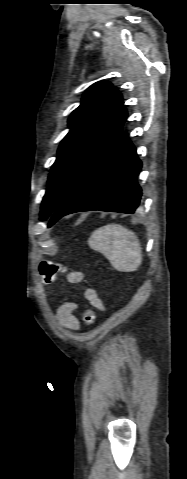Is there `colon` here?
<instances>
[{"label":"colon","instance_id":"colon-1","mask_svg":"<svg viewBox=\"0 0 187 479\" xmlns=\"http://www.w3.org/2000/svg\"><path fill=\"white\" fill-rule=\"evenodd\" d=\"M39 271L45 283H52L60 274L64 273L65 268L55 262L42 261L39 264ZM96 312L93 309L87 308L83 312V322L90 326L95 322Z\"/></svg>","mask_w":187,"mask_h":479}]
</instances>
